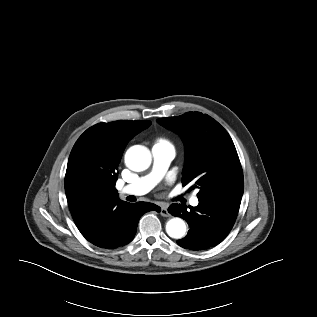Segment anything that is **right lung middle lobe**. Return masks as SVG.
Here are the masks:
<instances>
[{"mask_svg":"<svg viewBox=\"0 0 317 317\" xmlns=\"http://www.w3.org/2000/svg\"><path fill=\"white\" fill-rule=\"evenodd\" d=\"M76 190H80L82 193L88 195V196H93V197H98V198H102V192L99 189V187L95 186V185H78L76 187Z\"/></svg>","mask_w":317,"mask_h":317,"instance_id":"obj_1","label":"right lung middle lobe"}]
</instances>
